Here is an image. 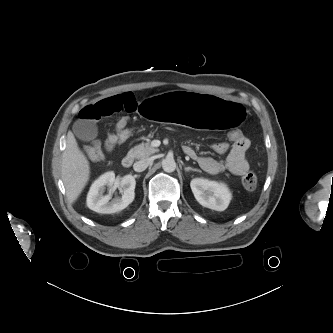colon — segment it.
<instances>
[{"instance_id": "5ec220e1", "label": "colon", "mask_w": 333, "mask_h": 333, "mask_svg": "<svg viewBox=\"0 0 333 333\" xmlns=\"http://www.w3.org/2000/svg\"><path fill=\"white\" fill-rule=\"evenodd\" d=\"M115 134H116L118 143H124L133 136L134 131L132 128L128 127V125L126 124V125L118 127V128L116 127ZM227 137L230 141L236 142V141L241 140L245 136L240 130L232 129V130L228 131ZM85 153H86L87 157L91 161H94V162H98V161H101L104 159V152H103L102 148L90 147L85 150ZM242 184L245 189L254 190L258 184V179H257L256 174L253 171L247 172L242 178Z\"/></svg>"}]
</instances>
